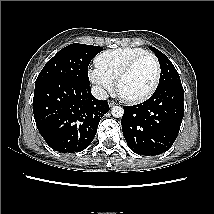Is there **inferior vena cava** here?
Here are the masks:
<instances>
[{
    "label": "inferior vena cava",
    "instance_id": "1",
    "mask_svg": "<svg viewBox=\"0 0 214 214\" xmlns=\"http://www.w3.org/2000/svg\"><path fill=\"white\" fill-rule=\"evenodd\" d=\"M91 93L96 99L99 100H105L108 98V93L99 86H92Z\"/></svg>",
    "mask_w": 214,
    "mask_h": 214
}]
</instances>
